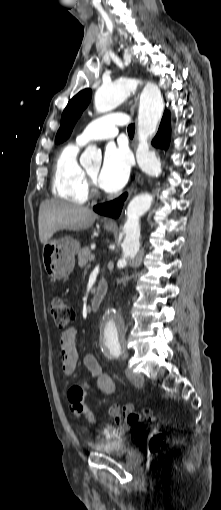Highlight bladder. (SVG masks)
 <instances>
[{
	"label": "bladder",
	"mask_w": 221,
	"mask_h": 510,
	"mask_svg": "<svg viewBox=\"0 0 221 510\" xmlns=\"http://www.w3.org/2000/svg\"><path fill=\"white\" fill-rule=\"evenodd\" d=\"M135 447L133 437L124 436L115 441L101 440L93 444L92 449L113 457L126 456Z\"/></svg>",
	"instance_id": "31cf9c89"
}]
</instances>
